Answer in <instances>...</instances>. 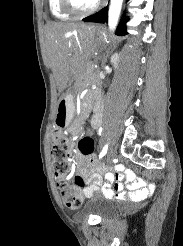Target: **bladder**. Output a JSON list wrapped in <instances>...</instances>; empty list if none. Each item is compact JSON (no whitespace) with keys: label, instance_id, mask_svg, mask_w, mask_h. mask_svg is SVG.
Segmentation results:
<instances>
[{"label":"bladder","instance_id":"bladder-1","mask_svg":"<svg viewBox=\"0 0 183 246\" xmlns=\"http://www.w3.org/2000/svg\"><path fill=\"white\" fill-rule=\"evenodd\" d=\"M119 206L113 200L104 197H94L89 200L82 209L83 214H94L106 218L115 214Z\"/></svg>","mask_w":183,"mask_h":246}]
</instances>
